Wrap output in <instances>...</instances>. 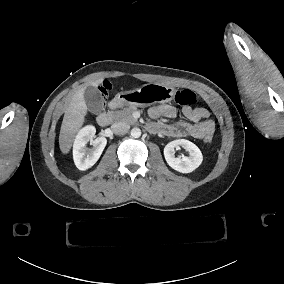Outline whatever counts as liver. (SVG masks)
Instances as JSON below:
<instances>
[{"mask_svg":"<svg viewBox=\"0 0 284 284\" xmlns=\"http://www.w3.org/2000/svg\"><path fill=\"white\" fill-rule=\"evenodd\" d=\"M105 79L90 80L81 86L66 104L67 108L59 133V148L63 155H68L73 147L75 137L86 122L88 106L85 102V91L88 86L96 89L103 86Z\"/></svg>","mask_w":284,"mask_h":284,"instance_id":"1","label":"liver"}]
</instances>
